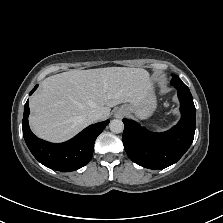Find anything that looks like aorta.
Wrapping results in <instances>:
<instances>
[{
  "instance_id": "obj_1",
  "label": "aorta",
  "mask_w": 223,
  "mask_h": 223,
  "mask_svg": "<svg viewBox=\"0 0 223 223\" xmlns=\"http://www.w3.org/2000/svg\"><path fill=\"white\" fill-rule=\"evenodd\" d=\"M109 128L114 133H120L124 129V124H123L122 120L114 119L110 122Z\"/></svg>"
}]
</instances>
